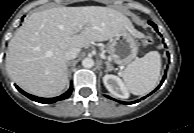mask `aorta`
Segmentation results:
<instances>
[{
    "instance_id": "1",
    "label": "aorta",
    "mask_w": 194,
    "mask_h": 133,
    "mask_svg": "<svg viewBox=\"0 0 194 133\" xmlns=\"http://www.w3.org/2000/svg\"><path fill=\"white\" fill-rule=\"evenodd\" d=\"M82 65H83V67H85V68H92L93 66H94V61H93V59L92 58H84L83 60H82Z\"/></svg>"
}]
</instances>
